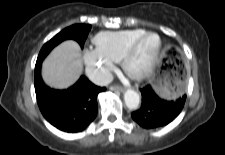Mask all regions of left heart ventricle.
Returning a JSON list of instances; mask_svg holds the SVG:
<instances>
[{
  "mask_svg": "<svg viewBox=\"0 0 225 155\" xmlns=\"http://www.w3.org/2000/svg\"><path fill=\"white\" fill-rule=\"evenodd\" d=\"M157 44L158 40L155 36H149L141 43L137 54L131 63L133 70H139L147 63L153 55Z\"/></svg>",
  "mask_w": 225,
  "mask_h": 155,
  "instance_id": "left-heart-ventricle-1",
  "label": "left heart ventricle"
}]
</instances>
